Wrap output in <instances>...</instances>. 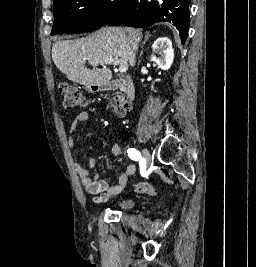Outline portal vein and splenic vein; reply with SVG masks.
Masks as SVG:
<instances>
[{
    "label": "portal vein and splenic vein",
    "mask_w": 256,
    "mask_h": 267,
    "mask_svg": "<svg viewBox=\"0 0 256 267\" xmlns=\"http://www.w3.org/2000/svg\"><path fill=\"white\" fill-rule=\"evenodd\" d=\"M90 64H98V62H90ZM105 64H114V66H119V72H127L128 64L125 62H119V60H114V62H105Z\"/></svg>",
    "instance_id": "portal-vein-and-splenic-vein-1"
}]
</instances>
